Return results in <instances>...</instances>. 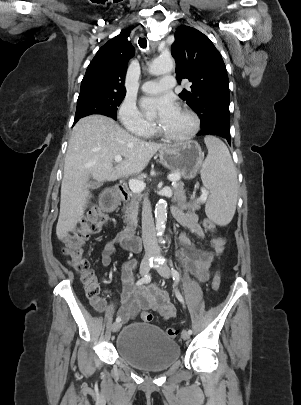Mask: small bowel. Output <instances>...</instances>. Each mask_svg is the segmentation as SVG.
Returning <instances> with one entry per match:
<instances>
[{
	"mask_svg": "<svg viewBox=\"0 0 301 405\" xmlns=\"http://www.w3.org/2000/svg\"><path fill=\"white\" fill-rule=\"evenodd\" d=\"M173 214L177 222L183 228L189 230L198 238H205V231L199 224L198 216L194 211L186 210L181 206H175L173 208ZM122 239L123 232L120 231L115 237L105 243L100 253L101 264L104 267L111 264L112 257L119 247L124 248ZM179 239L183 246L179 257L181 265L199 282L203 283L208 281L215 257L219 256L224 251V238H212L210 241L211 251L197 248L195 243L185 233H181ZM134 266L133 261H127L122 267L124 286L120 295L118 317L124 322H127L135 318L137 313L141 310L154 311L164 319L174 317L176 315V308L165 290L161 289L156 284L139 288L132 287V271Z\"/></svg>",
	"mask_w": 301,
	"mask_h": 405,
	"instance_id": "small-bowel-1",
	"label": "small bowel"
}]
</instances>
